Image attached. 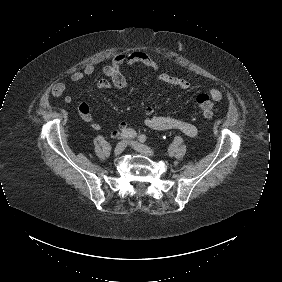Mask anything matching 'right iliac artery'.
I'll return each instance as SVG.
<instances>
[{
	"label": "right iliac artery",
	"mask_w": 282,
	"mask_h": 282,
	"mask_svg": "<svg viewBox=\"0 0 282 282\" xmlns=\"http://www.w3.org/2000/svg\"><path fill=\"white\" fill-rule=\"evenodd\" d=\"M137 136V133L134 129H127L121 133V135L118 137L119 139H132Z\"/></svg>",
	"instance_id": "1"
}]
</instances>
